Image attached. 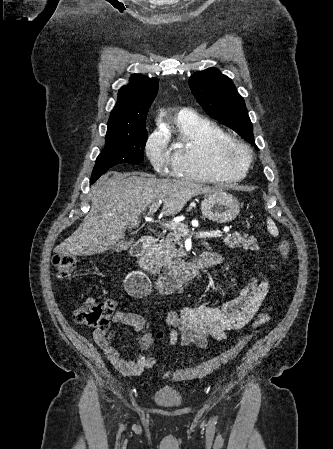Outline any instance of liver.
Here are the masks:
<instances>
[{
    "mask_svg": "<svg viewBox=\"0 0 333 449\" xmlns=\"http://www.w3.org/2000/svg\"><path fill=\"white\" fill-rule=\"evenodd\" d=\"M143 173L108 172L91 188V210L80 227L57 248L64 255L100 254L139 225V216L161 200L162 214L173 216L201 194L218 190L200 183L155 179Z\"/></svg>",
    "mask_w": 333,
    "mask_h": 449,
    "instance_id": "liver-1",
    "label": "liver"
}]
</instances>
